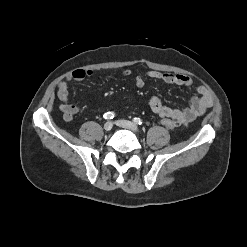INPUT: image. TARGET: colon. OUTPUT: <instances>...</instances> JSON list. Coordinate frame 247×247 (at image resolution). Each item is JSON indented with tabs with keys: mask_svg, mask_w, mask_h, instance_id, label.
Returning a JSON list of instances; mask_svg holds the SVG:
<instances>
[{
	"mask_svg": "<svg viewBox=\"0 0 247 247\" xmlns=\"http://www.w3.org/2000/svg\"><path fill=\"white\" fill-rule=\"evenodd\" d=\"M160 124L167 129H174L178 126V122L170 118L161 119Z\"/></svg>",
	"mask_w": 247,
	"mask_h": 247,
	"instance_id": "obj_1",
	"label": "colon"
}]
</instances>
